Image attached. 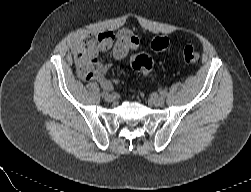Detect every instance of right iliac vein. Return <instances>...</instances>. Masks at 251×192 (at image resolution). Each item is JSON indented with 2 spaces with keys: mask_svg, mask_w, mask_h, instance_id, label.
<instances>
[{
  "mask_svg": "<svg viewBox=\"0 0 251 192\" xmlns=\"http://www.w3.org/2000/svg\"><path fill=\"white\" fill-rule=\"evenodd\" d=\"M106 101L108 102H113L115 100V97L114 95L112 94H108L106 97H105Z\"/></svg>",
  "mask_w": 251,
  "mask_h": 192,
  "instance_id": "obj_1",
  "label": "right iliac vein"
}]
</instances>
